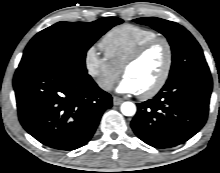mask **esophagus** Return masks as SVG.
Segmentation results:
<instances>
[{"label":"esophagus","mask_w":220,"mask_h":173,"mask_svg":"<svg viewBox=\"0 0 220 173\" xmlns=\"http://www.w3.org/2000/svg\"><path fill=\"white\" fill-rule=\"evenodd\" d=\"M122 102H123V99H121V98H119L117 96L113 97V104L114 105H120Z\"/></svg>","instance_id":"1"}]
</instances>
